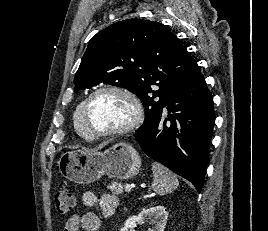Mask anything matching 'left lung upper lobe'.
<instances>
[{"instance_id":"left-lung-upper-lobe-1","label":"left lung upper lobe","mask_w":268,"mask_h":231,"mask_svg":"<svg viewBox=\"0 0 268 231\" xmlns=\"http://www.w3.org/2000/svg\"><path fill=\"white\" fill-rule=\"evenodd\" d=\"M196 64L164 25L127 19L91 38L74 84L86 89L104 83L135 93L145 107L144 123L136 131H146L161 114L171 88Z\"/></svg>"}]
</instances>
